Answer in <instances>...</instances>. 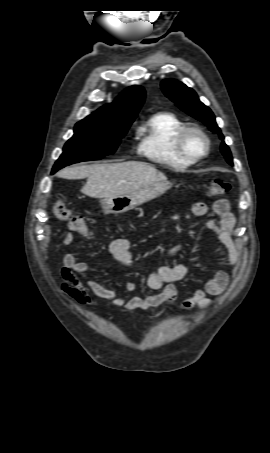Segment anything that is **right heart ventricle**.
Masks as SVG:
<instances>
[{"instance_id": "1", "label": "right heart ventricle", "mask_w": 270, "mask_h": 453, "mask_svg": "<svg viewBox=\"0 0 270 453\" xmlns=\"http://www.w3.org/2000/svg\"><path fill=\"white\" fill-rule=\"evenodd\" d=\"M185 124L172 112H158L150 116L140 127V154L150 161L176 169L192 166L193 161L184 158L175 147V137Z\"/></svg>"}]
</instances>
